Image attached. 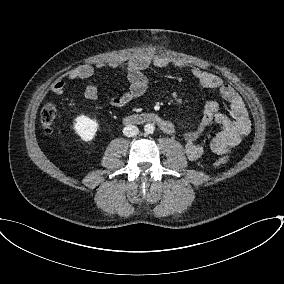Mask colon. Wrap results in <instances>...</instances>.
<instances>
[{"label": "colon", "instance_id": "5ec220e1", "mask_svg": "<svg viewBox=\"0 0 284 284\" xmlns=\"http://www.w3.org/2000/svg\"><path fill=\"white\" fill-rule=\"evenodd\" d=\"M57 116V110L52 103H47L41 110L40 122L44 131L48 134L54 131V122ZM227 161L226 157L217 160L216 165L221 166Z\"/></svg>", "mask_w": 284, "mask_h": 284}]
</instances>
